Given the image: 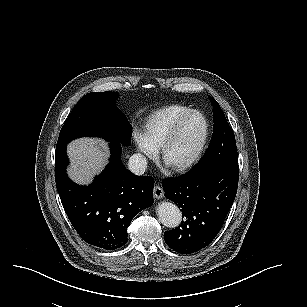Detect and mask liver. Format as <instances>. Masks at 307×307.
<instances>
[{
    "instance_id": "obj_1",
    "label": "liver",
    "mask_w": 307,
    "mask_h": 307,
    "mask_svg": "<svg viewBox=\"0 0 307 307\" xmlns=\"http://www.w3.org/2000/svg\"><path fill=\"white\" fill-rule=\"evenodd\" d=\"M71 165L67 168L69 177L77 184L88 185L99 174L110 156L107 143L95 138H80L67 146Z\"/></svg>"
}]
</instances>
